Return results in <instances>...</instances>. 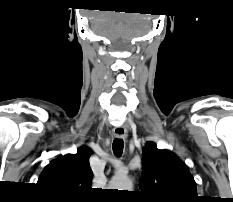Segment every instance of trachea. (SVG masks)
<instances>
[{
  "label": "trachea",
  "mask_w": 233,
  "mask_h": 202,
  "mask_svg": "<svg viewBox=\"0 0 233 202\" xmlns=\"http://www.w3.org/2000/svg\"><path fill=\"white\" fill-rule=\"evenodd\" d=\"M123 147H124V142L122 139H114L113 141V152L117 157H120L122 155L123 152Z\"/></svg>",
  "instance_id": "obj_1"
}]
</instances>
